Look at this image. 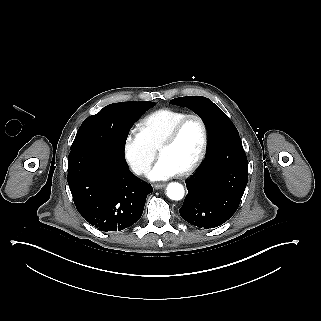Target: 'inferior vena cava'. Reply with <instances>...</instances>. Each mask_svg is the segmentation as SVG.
<instances>
[{
  "mask_svg": "<svg viewBox=\"0 0 321 321\" xmlns=\"http://www.w3.org/2000/svg\"><path fill=\"white\" fill-rule=\"evenodd\" d=\"M136 169H134V172L135 173H137V174H139V173H141V172H149V170H150V168H147V167H145V168H143V167H140V166H136L135 167Z\"/></svg>",
  "mask_w": 321,
  "mask_h": 321,
  "instance_id": "inferior-vena-cava-1",
  "label": "inferior vena cava"
}]
</instances>
